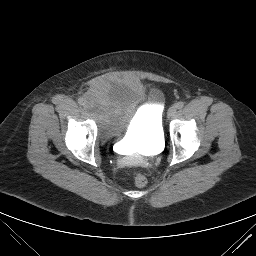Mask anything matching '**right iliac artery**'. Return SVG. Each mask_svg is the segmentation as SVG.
I'll use <instances>...</instances> for the list:
<instances>
[{"label":"right iliac artery","mask_w":256,"mask_h":256,"mask_svg":"<svg viewBox=\"0 0 256 256\" xmlns=\"http://www.w3.org/2000/svg\"><path fill=\"white\" fill-rule=\"evenodd\" d=\"M85 102H86V101H85V99H84L83 97H81V98L78 99V103H79L80 105H83Z\"/></svg>","instance_id":"right-iliac-artery-1"}]
</instances>
